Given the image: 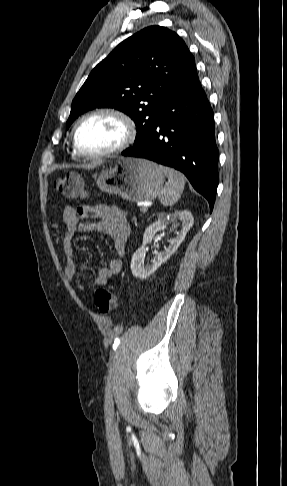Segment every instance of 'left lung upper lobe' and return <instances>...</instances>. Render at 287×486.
Returning a JSON list of instances; mask_svg holds the SVG:
<instances>
[{
  "mask_svg": "<svg viewBox=\"0 0 287 486\" xmlns=\"http://www.w3.org/2000/svg\"><path fill=\"white\" fill-rule=\"evenodd\" d=\"M195 71L194 57L175 32L147 27L121 42L92 70L72 102L66 128L90 109L115 108L135 122L136 146L159 118L169 95Z\"/></svg>",
  "mask_w": 287,
  "mask_h": 486,
  "instance_id": "5c2ea615",
  "label": "left lung upper lobe"
}]
</instances>
